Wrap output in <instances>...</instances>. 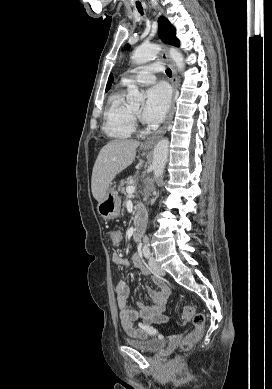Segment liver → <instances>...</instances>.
Wrapping results in <instances>:
<instances>
[{
  "mask_svg": "<svg viewBox=\"0 0 272 389\" xmlns=\"http://www.w3.org/2000/svg\"><path fill=\"white\" fill-rule=\"evenodd\" d=\"M139 145L135 140H114L102 147L91 178L92 194L98 202L106 196L115 176L133 163Z\"/></svg>",
  "mask_w": 272,
  "mask_h": 389,
  "instance_id": "1",
  "label": "liver"
}]
</instances>
